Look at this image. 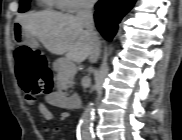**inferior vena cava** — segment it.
Masks as SVG:
<instances>
[{"label":"inferior vena cava","instance_id":"602c4592","mask_svg":"<svg viewBox=\"0 0 182 140\" xmlns=\"http://www.w3.org/2000/svg\"><path fill=\"white\" fill-rule=\"evenodd\" d=\"M95 2L93 0H82L79 4L77 11L78 21L85 27L86 32L90 36L91 51L89 55V61L95 63L100 55V41L95 32L93 21V8Z\"/></svg>","mask_w":182,"mask_h":140}]
</instances>
